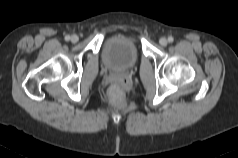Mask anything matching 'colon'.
Segmentation results:
<instances>
[{
	"mask_svg": "<svg viewBox=\"0 0 238 158\" xmlns=\"http://www.w3.org/2000/svg\"><path fill=\"white\" fill-rule=\"evenodd\" d=\"M109 100L113 104H122L124 102V93L118 84H114L109 89Z\"/></svg>",
	"mask_w": 238,
	"mask_h": 158,
	"instance_id": "colon-1",
	"label": "colon"
}]
</instances>
